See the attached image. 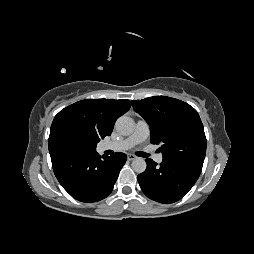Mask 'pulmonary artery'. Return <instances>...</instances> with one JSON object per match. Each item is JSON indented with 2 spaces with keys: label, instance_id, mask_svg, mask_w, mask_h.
<instances>
[{
  "label": "pulmonary artery",
  "instance_id": "obj_1",
  "mask_svg": "<svg viewBox=\"0 0 254 254\" xmlns=\"http://www.w3.org/2000/svg\"><path fill=\"white\" fill-rule=\"evenodd\" d=\"M149 134L150 128L148 123L144 120H139L136 123L133 133L129 137L116 142L104 143L102 145V148L104 150L111 149L116 151L128 150L134 147L135 145L144 142L149 137ZM162 160L163 156L161 154L154 155L155 162L161 163Z\"/></svg>",
  "mask_w": 254,
  "mask_h": 254
}]
</instances>
